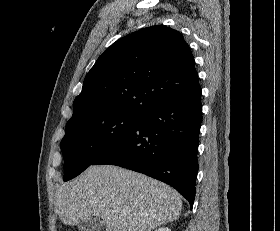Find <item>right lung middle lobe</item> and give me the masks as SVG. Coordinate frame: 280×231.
<instances>
[{"instance_id":"right-lung-middle-lobe-1","label":"right lung middle lobe","mask_w":280,"mask_h":231,"mask_svg":"<svg viewBox=\"0 0 280 231\" xmlns=\"http://www.w3.org/2000/svg\"><path fill=\"white\" fill-rule=\"evenodd\" d=\"M141 117L111 115L69 120L61 142L64 181L76 177L103 156L139 124Z\"/></svg>"}]
</instances>
